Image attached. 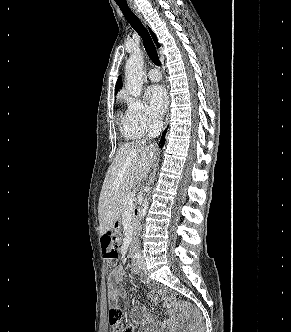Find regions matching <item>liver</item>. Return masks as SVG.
Instances as JSON below:
<instances>
[{"label":"liver","mask_w":291,"mask_h":332,"mask_svg":"<svg viewBox=\"0 0 291 332\" xmlns=\"http://www.w3.org/2000/svg\"><path fill=\"white\" fill-rule=\"evenodd\" d=\"M157 147L142 142L121 146L103 182L98 204L99 231L103 235L121 217V201L126 193L146 178L156 158Z\"/></svg>","instance_id":"1"}]
</instances>
